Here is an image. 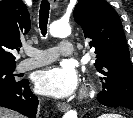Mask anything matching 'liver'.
<instances>
[{"instance_id":"liver-1","label":"liver","mask_w":133,"mask_h":118,"mask_svg":"<svg viewBox=\"0 0 133 118\" xmlns=\"http://www.w3.org/2000/svg\"><path fill=\"white\" fill-rule=\"evenodd\" d=\"M0 118H23V116L17 112L0 107Z\"/></svg>"}]
</instances>
